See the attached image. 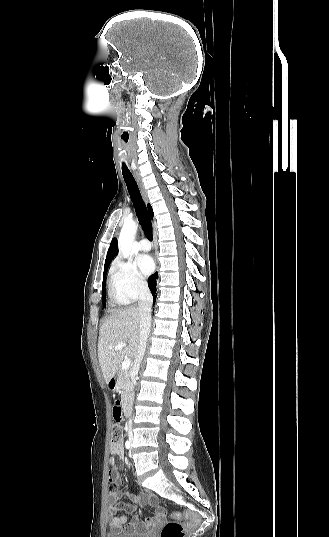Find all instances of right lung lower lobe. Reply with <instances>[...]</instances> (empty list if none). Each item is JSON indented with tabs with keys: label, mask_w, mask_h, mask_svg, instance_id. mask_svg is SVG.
Listing matches in <instances>:
<instances>
[{
	"label": "right lung lower lobe",
	"mask_w": 329,
	"mask_h": 537,
	"mask_svg": "<svg viewBox=\"0 0 329 537\" xmlns=\"http://www.w3.org/2000/svg\"><path fill=\"white\" fill-rule=\"evenodd\" d=\"M157 276L158 274L155 273L153 275L150 276L149 280H148V286H149V289L152 293V295L154 297H156L155 293H156V280H157Z\"/></svg>",
	"instance_id": "1"
}]
</instances>
